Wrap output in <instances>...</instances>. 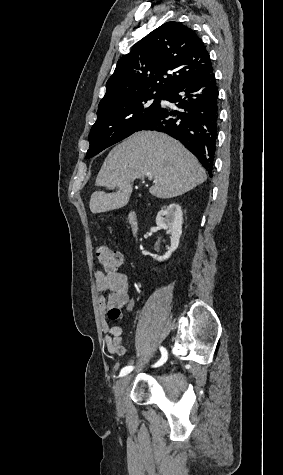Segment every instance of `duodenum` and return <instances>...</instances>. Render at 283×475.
Returning a JSON list of instances; mask_svg holds the SVG:
<instances>
[{
  "instance_id": "duodenum-1",
  "label": "duodenum",
  "mask_w": 283,
  "mask_h": 475,
  "mask_svg": "<svg viewBox=\"0 0 283 475\" xmlns=\"http://www.w3.org/2000/svg\"><path fill=\"white\" fill-rule=\"evenodd\" d=\"M129 223L132 229V232L135 234L138 231V222L134 213L129 214Z\"/></svg>"
}]
</instances>
